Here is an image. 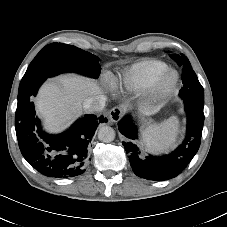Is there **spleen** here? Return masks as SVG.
<instances>
[{"label": "spleen", "instance_id": "3e777b00", "mask_svg": "<svg viewBox=\"0 0 227 227\" xmlns=\"http://www.w3.org/2000/svg\"><path fill=\"white\" fill-rule=\"evenodd\" d=\"M179 119L170 117L165 122L142 134L143 141L150 152L165 153L171 149L179 134Z\"/></svg>", "mask_w": 227, "mask_h": 227}]
</instances>
